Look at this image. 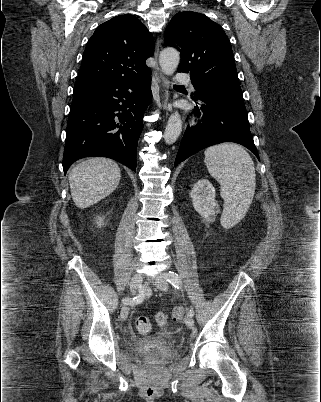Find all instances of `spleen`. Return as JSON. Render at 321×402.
Here are the masks:
<instances>
[{
    "mask_svg": "<svg viewBox=\"0 0 321 402\" xmlns=\"http://www.w3.org/2000/svg\"><path fill=\"white\" fill-rule=\"evenodd\" d=\"M205 165L221 188L224 199L222 226L238 223L250 207L256 187V173L250 155L240 146L223 143L207 148Z\"/></svg>",
    "mask_w": 321,
    "mask_h": 402,
    "instance_id": "spleen-1",
    "label": "spleen"
}]
</instances>
